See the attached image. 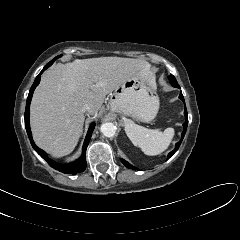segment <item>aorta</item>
Returning a JSON list of instances; mask_svg holds the SVG:
<instances>
[{
  "label": "aorta",
  "mask_w": 240,
  "mask_h": 240,
  "mask_svg": "<svg viewBox=\"0 0 240 240\" xmlns=\"http://www.w3.org/2000/svg\"><path fill=\"white\" fill-rule=\"evenodd\" d=\"M117 127L111 122L103 123L100 127V131L106 137H113L116 134Z\"/></svg>",
  "instance_id": "762f6f07"
}]
</instances>
